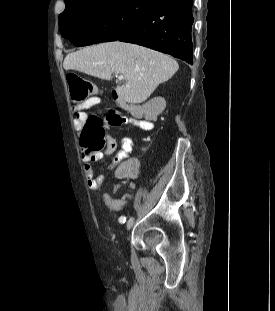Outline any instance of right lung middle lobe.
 <instances>
[{
	"label": "right lung middle lobe",
	"instance_id": "obj_1",
	"mask_svg": "<svg viewBox=\"0 0 275 311\" xmlns=\"http://www.w3.org/2000/svg\"><path fill=\"white\" fill-rule=\"evenodd\" d=\"M161 0H81L59 16L61 35L75 46L114 41L134 20Z\"/></svg>",
	"mask_w": 275,
	"mask_h": 311
}]
</instances>
